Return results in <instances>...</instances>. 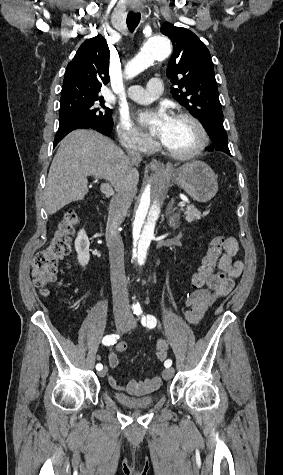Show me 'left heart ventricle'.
<instances>
[{
	"label": "left heart ventricle",
	"instance_id": "left-heart-ventricle-1",
	"mask_svg": "<svg viewBox=\"0 0 283 475\" xmlns=\"http://www.w3.org/2000/svg\"><path fill=\"white\" fill-rule=\"evenodd\" d=\"M167 133V137L161 141L169 151L177 154L192 150L199 139L196 127L188 120L176 116L172 118Z\"/></svg>",
	"mask_w": 283,
	"mask_h": 475
}]
</instances>
